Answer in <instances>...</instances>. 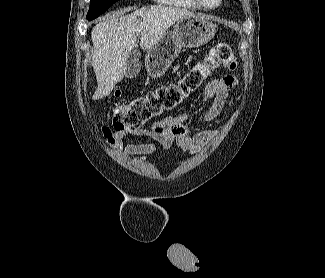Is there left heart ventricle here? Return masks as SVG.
Here are the masks:
<instances>
[{"mask_svg": "<svg viewBox=\"0 0 325 278\" xmlns=\"http://www.w3.org/2000/svg\"><path fill=\"white\" fill-rule=\"evenodd\" d=\"M205 1L208 4L213 5V4L217 3L218 0H205Z\"/></svg>", "mask_w": 325, "mask_h": 278, "instance_id": "obj_1", "label": "left heart ventricle"}]
</instances>
